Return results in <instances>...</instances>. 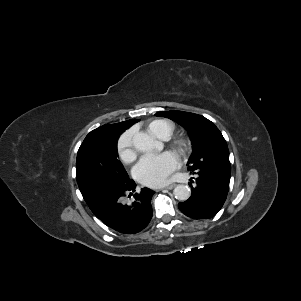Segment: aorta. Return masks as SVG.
<instances>
[{
  "mask_svg": "<svg viewBox=\"0 0 301 301\" xmlns=\"http://www.w3.org/2000/svg\"><path fill=\"white\" fill-rule=\"evenodd\" d=\"M133 145L138 151L146 152L154 148L155 142L148 134L140 132L134 135ZM173 194L176 199L186 201L191 193L188 186L177 185L173 190Z\"/></svg>",
  "mask_w": 301,
  "mask_h": 301,
  "instance_id": "1",
  "label": "aorta"
}]
</instances>
